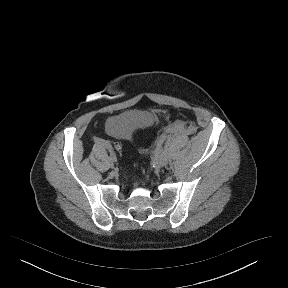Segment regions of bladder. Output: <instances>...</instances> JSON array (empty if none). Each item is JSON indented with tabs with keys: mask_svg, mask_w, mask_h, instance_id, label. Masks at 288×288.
<instances>
[{
	"mask_svg": "<svg viewBox=\"0 0 288 288\" xmlns=\"http://www.w3.org/2000/svg\"><path fill=\"white\" fill-rule=\"evenodd\" d=\"M155 115L147 110H134L111 118L106 123V131L117 136H129L139 129L151 127Z\"/></svg>",
	"mask_w": 288,
	"mask_h": 288,
	"instance_id": "31cf9c89",
	"label": "bladder"
}]
</instances>
